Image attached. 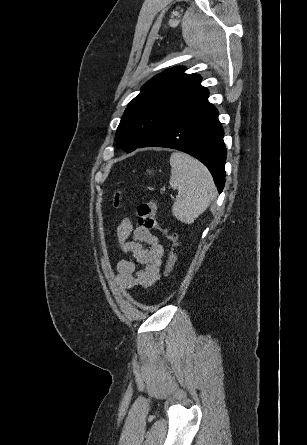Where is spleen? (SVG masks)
<instances>
[{"instance_id":"3e777b00","label":"spleen","mask_w":307,"mask_h":445,"mask_svg":"<svg viewBox=\"0 0 307 445\" xmlns=\"http://www.w3.org/2000/svg\"><path fill=\"white\" fill-rule=\"evenodd\" d=\"M170 164L169 182L174 190H178L172 212L177 220L192 225L215 196L212 174L202 162L185 152H172Z\"/></svg>"}]
</instances>
